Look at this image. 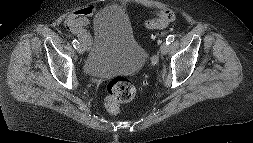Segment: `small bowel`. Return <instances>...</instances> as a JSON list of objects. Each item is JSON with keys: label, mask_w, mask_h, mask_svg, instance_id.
I'll use <instances>...</instances> for the list:
<instances>
[{"label": "small bowel", "mask_w": 253, "mask_h": 143, "mask_svg": "<svg viewBox=\"0 0 253 143\" xmlns=\"http://www.w3.org/2000/svg\"><path fill=\"white\" fill-rule=\"evenodd\" d=\"M96 5L95 4H88L85 5L73 13L69 14L65 20V26L74 33L81 43L85 46H89L91 42L90 34L87 30L89 25V17L95 12ZM157 18L148 20L145 23V27L148 29H161L168 26L172 23L175 19V13L173 10L168 8H163L155 11ZM150 21H157L159 22L158 26L155 28H151L148 26Z\"/></svg>", "instance_id": "obj_1"}]
</instances>
